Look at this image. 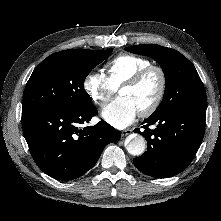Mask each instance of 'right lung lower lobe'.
Listing matches in <instances>:
<instances>
[{"label": "right lung lower lobe", "instance_id": "1", "mask_svg": "<svg viewBox=\"0 0 221 221\" xmlns=\"http://www.w3.org/2000/svg\"><path fill=\"white\" fill-rule=\"evenodd\" d=\"M97 114L95 106L79 111L22 109V129L38 167L58 180L76 179L91 169L104 147L120 138L104 121L82 127Z\"/></svg>", "mask_w": 221, "mask_h": 221}]
</instances>
